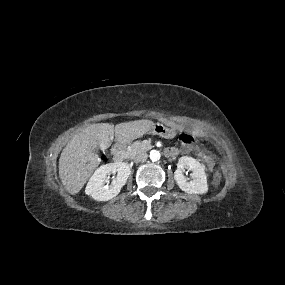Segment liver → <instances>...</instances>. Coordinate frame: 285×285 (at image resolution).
Segmentation results:
<instances>
[{"mask_svg":"<svg viewBox=\"0 0 285 285\" xmlns=\"http://www.w3.org/2000/svg\"><path fill=\"white\" fill-rule=\"evenodd\" d=\"M155 123L142 119L117 124H91L72 137L59 158V177L72 194H77L100 163L96 148L107 149L115 138L128 143L153 129Z\"/></svg>","mask_w":285,"mask_h":285,"instance_id":"1","label":"liver"}]
</instances>
